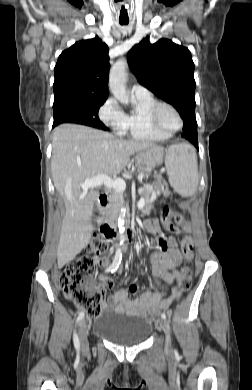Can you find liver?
Here are the masks:
<instances>
[{"instance_id":"6515ba94","label":"liver","mask_w":252,"mask_h":390,"mask_svg":"<svg viewBox=\"0 0 252 390\" xmlns=\"http://www.w3.org/2000/svg\"><path fill=\"white\" fill-rule=\"evenodd\" d=\"M52 140L54 186L66 203L57 248L58 267L62 268L91 238L93 204L99 194L93 188L82 189L84 181L99 174L120 173L139 151L163 149L149 142L119 140L108 132L77 124L56 127Z\"/></svg>"}]
</instances>
